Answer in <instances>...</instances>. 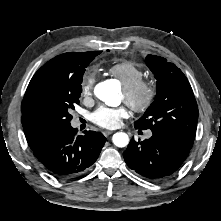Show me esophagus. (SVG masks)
I'll return each mask as SVG.
<instances>
[{"mask_svg": "<svg viewBox=\"0 0 221 221\" xmlns=\"http://www.w3.org/2000/svg\"><path fill=\"white\" fill-rule=\"evenodd\" d=\"M113 133V131H104L103 134L107 137L109 135H111Z\"/></svg>", "mask_w": 221, "mask_h": 221, "instance_id": "34e87169", "label": "esophagus"}]
</instances>
